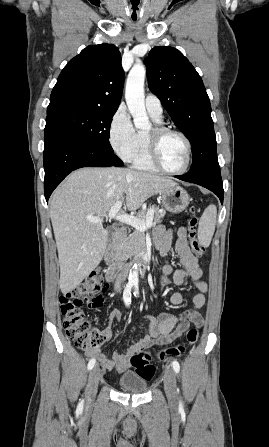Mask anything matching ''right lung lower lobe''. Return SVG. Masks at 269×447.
<instances>
[{"label": "right lung lower lobe", "mask_w": 269, "mask_h": 447, "mask_svg": "<svg viewBox=\"0 0 269 447\" xmlns=\"http://www.w3.org/2000/svg\"><path fill=\"white\" fill-rule=\"evenodd\" d=\"M44 141V193L46 201H48L57 185L73 170L82 167L123 165V162L113 151L98 147L56 127H45Z\"/></svg>", "instance_id": "98d812e1"}]
</instances>
